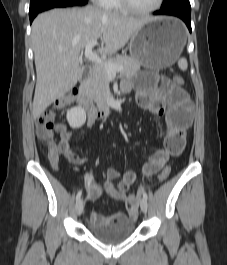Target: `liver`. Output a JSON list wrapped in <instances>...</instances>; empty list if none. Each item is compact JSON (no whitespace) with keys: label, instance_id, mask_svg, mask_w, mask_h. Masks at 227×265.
I'll list each match as a JSON object with an SVG mask.
<instances>
[{"label":"liver","instance_id":"obj_1","mask_svg":"<svg viewBox=\"0 0 227 265\" xmlns=\"http://www.w3.org/2000/svg\"><path fill=\"white\" fill-rule=\"evenodd\" d=\"M146 22L91 6L38 15L31 33L37 73L33 118L76 85L82 75L78 56L88 42L101 38L98 51L115 54Z\"/></svg>","mask_w":227,"mask_h":265}]
</instances>
